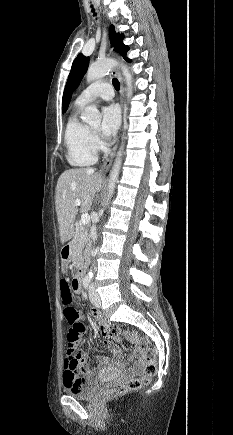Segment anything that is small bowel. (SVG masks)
<instances>
[{"label":"small bowel","instance_id":"1","mask_svg":"<svg viewBox=\"0 0 233 435\" xmlns=\"http://www.w3.org/2000/svg\"><path fill=\"white\" fill-rule=\"evenodd\" d=\"M82 283L78 282L76 279L69 282L68 280H62L59 285V296L62 300L65 299L71 292H79L81 289ZM92 317L98 321L99 331L104 339L107 349L111 353L114 358V361H111L108 357L105 356H97V367L96 368H88V359L89 356L85 352H79L76 355L65 354L64 362H63V385L70 389H76L82 384L89 383L93 381L96 375H105L109 374L113 371L122 370L121 363V351L117 348L111 341L109 336V325L106 321H104L102 313L98 310H94L92 312ZM70 329L67 333V342H71V344L77 345L78 340L80 339L82 333L85 330V325L78 314L77 319L73 323H69ZM132 359L135 361V366L131 370L132 373L138 374L142 371V349L137 346L131 352ZM82 374L81 377L78 375ZM76 380H79V384L76 383Z\"/></svg>","mask_w":233,"mask_h":435}]
</instances>
